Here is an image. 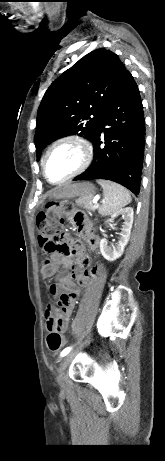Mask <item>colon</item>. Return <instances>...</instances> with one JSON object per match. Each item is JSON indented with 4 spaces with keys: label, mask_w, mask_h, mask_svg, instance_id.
Listing matches in <instances>:
<instances>
[{
    "label": "colon",
    "mask_w": 165,
    "mask_h": 461,
    "mask_svg": "<svg viewBox=\"0 0 165 461\" xmlns=\"http://www.w3.org/2000/svg\"><path fill=\"white\" fill-rule=\"evenodd\" d=\"M72 209L70 203H50L46 211L38 214L36 225L39 230V243L44 251L53 253L60 251H70V247L60 233L63 224V215ZM41 273L44 279H50L55 274V268L49 259L42 262ZM53 324H59V320H53ZM49 324V334L47 344L51 351H57L66 345L60 332Z\"/></svg>",
    "instance_id": "colon-1"
}]
</instances>
